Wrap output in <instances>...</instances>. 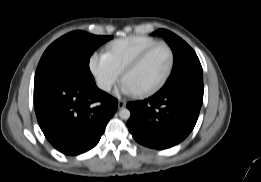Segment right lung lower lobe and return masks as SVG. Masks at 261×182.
Listing matches in <instances>:
<instances>
[{
  "label": "right lung lower lobe",
  "mask_w": 261,
  "mask_h": 182,
  "mask_svg": "<svg viewBox=\"0 0 261 182\" xmlns=\"http://www.w3.org/2000/svg\"><path fill=\"white\" fill-rule=\"evenodd\" d=\"M99 105L92 107L93 103ZM118 101L96 85L84 86L67 73L34 81V107L48 141L66 155L93 148L117 110Z\"/></svg>",
  "instance_id": "obj_1"
}]
</instances>
